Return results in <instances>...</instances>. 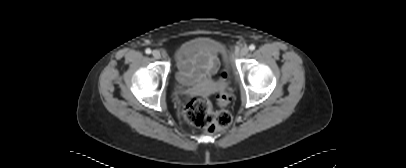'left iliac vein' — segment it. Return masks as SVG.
<instances>
[{
  "label": "left iliac vein",
  "mask_w": 406,
  "mask_h": 168,
  "mask_svg": "<svg viewBox=\"0 0 406 168\" xmlns=\"http://www.w3.org/2000/svg\"><path fill=\"white\" fill-rule=\"evenodd\" d=\"M248 52H249V48L246 47V46H244V47L241 48V50H240V52H239V55H240L241 57H243V56H246V55L248 54Z\"/></svg>",
  "instance_id": "1"
}]
</instances>
